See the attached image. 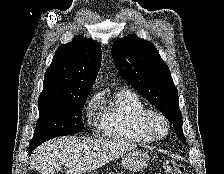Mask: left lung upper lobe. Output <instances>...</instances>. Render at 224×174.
Wrapping results in <instances>:
<instances>
[{"label":"left lung upper lobe","mask_w":224,"mask_h":174,"mask_svg":"<svg viewBox=\"0 0 224 174\" xmlns=\"http://www.w3.org/2000/svg\"><path fill=\"white\" fill-rule=\"evenodd\" d=\"M112 57L120 74L166 116L186 144L177 88L153 44L130 35L113 44Z\"/></svg>","instance_id":"left-lung-upper-lobe-1"}]
</instances>
